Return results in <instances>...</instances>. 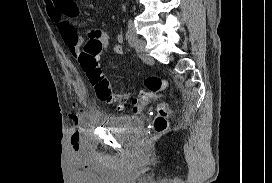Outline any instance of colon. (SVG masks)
<instances>
[{"instance_id":"colon-1","label":"colon","mask_w":272,"mask_h":183,"mask_svg":"<svg viewBox=\"0 0 272 183\" xmlns=\"http://www.w3.org/2000/svg\"><path fill=\"white\" fill-rule=\"evenodd\" d=\"M103 45L96 40H89L82 48L78 60L82 70L87 75L89 81L94 87L97 97L109 104L117 103L119 107L126 104V100L119 98L113 90L109 80L104 76L99 66V56ZM146 91L133 98L130 102L134 111H140L151 98L161 90L167 87V81L157 75H149L144 81ZM168 109L161 105L158 108V115L155 119L154 126L156 131H163L167 126Z\"/></svg>"}]
</instances>
